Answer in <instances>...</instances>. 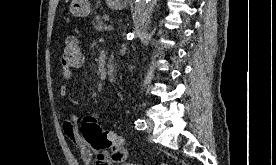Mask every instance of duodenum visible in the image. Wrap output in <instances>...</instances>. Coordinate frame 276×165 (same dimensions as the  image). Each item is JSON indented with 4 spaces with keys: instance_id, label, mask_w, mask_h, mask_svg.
<instances>
[{
    "instance_id": "obj_1",
    "label": "duodenum",
    "mask_w": 276,
    "mask_h": 165,
    "mask_svg": "<svg viewBox=\"0 0 276 165\" xmlns=\"http://www.w3.org/2000/svg\"><path fill=\"white\" fill-rule=\"evenodd\" d=\"M105 72H106V75L107 77L110 79V80H113L116 76V65L114 63V61H108L106 66H105Z\"/></svg>"
}]
</instances>
